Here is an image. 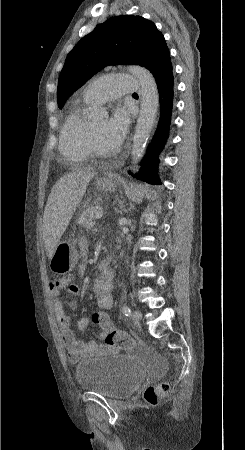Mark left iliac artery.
I'll return each mask as SVG.
<instances>
[{
	"instance_id": "obj_1",
	"label": "left iliac artery",
	"mask_w": 245,
	"mask_h": 450,
	"mask_svg": "<svg viewBox=\"0 0 245 450\" xmlns=\"http://www.w3.org/2000/svg\"><path fill=\"white\" fill-rule=\"evenodd\" d=\"M122 312H123V314H124L126 317H130V315H131V310H130V308H129L128 306H126V305H124V306L122 307Z\"/></svg>"
}]
</instances>
